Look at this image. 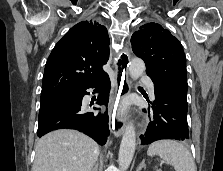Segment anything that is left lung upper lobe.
Returning <instances> with one entry per match:
<instances>
[{
    "mask_svg": "<svg viewBox=\"0 0 223 171\" xmlns=\"http://www.w3.org/2000/svg\"><path fill=\"white\" fill-rule=\"evenodd\" d=\"M133 52L146 64V73L155 84L187 95L186 57L181 43L160 24L147 23L131 37Z\"/></svg>",
    "mask_w": 223,
    "mask_h": 171,
    "instance_id": "1",
    "label": "left lung upper lobe"
}]
</instances>
